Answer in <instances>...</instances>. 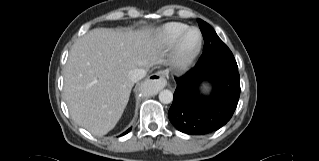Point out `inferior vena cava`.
I'll return each mask as SVG.
<instances>
[{
  "instance_id": "602c4592",
  "label": "inferior vena cava",
  "mask_w": 319,
  "mask_h": 161,
  "mask_svg": "<svg viewBox=\"0 0 319 161\" xmlns=\"http://www.w3.org/2000/svg\"><path fill=\"white\" fill-rule=\"evenodd\" d=\"M128 75L130 80L135 83L146 75V71L144 69L136 68L130 70Z\"/></svg>"
}]
</instances>
